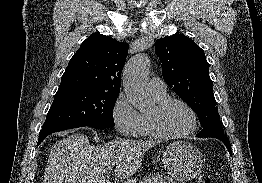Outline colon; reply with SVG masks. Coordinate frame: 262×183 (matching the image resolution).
I'll use <instances>...</instances> for the list:
<instances>
[{"mask_svg":"<svg viewBox=\"0 0 262 183\" xmlns=\"http://www.w3.org/2000/svg\"><path fill=\"white\" fill-rule=\"evenodd\" d=\"M197 183H211V175L209 172L204 171L197 177Z\"/></svg>","mask_w":262,"mask_h":183,"instance_id":"5ec220e1","label":"colon"}]
</instances>
